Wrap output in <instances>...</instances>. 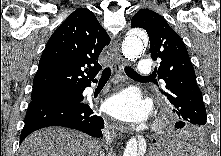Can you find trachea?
Segmentation results:
<instances>
[{"label": "trachea", "instance_id": "3493384b", "mask_svg": "<svg viewBox=\"0 0 221 156\" xmlns=\"http://www.w3.org/2000/svg\"><path fill=\"white\" fill-rule=\"evenodd\" d=\"M125 70V73L131 77V78H146V77H143L141 75H139L134 69H132L131 67L129 66H126L124 68ZM111 76V68L110 67H107L106 69H104V71L102 72V75H101V78H100V81H106L110 78Z\"/></svg>", "mask_w": 221, "mask_h": 156}]
</instances>
